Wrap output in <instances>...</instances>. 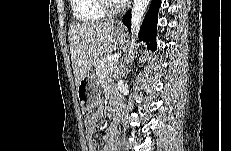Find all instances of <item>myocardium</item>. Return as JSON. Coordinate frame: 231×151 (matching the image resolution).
I'll return each instance as SVG.
<instances>
[{
    "instance_id": "myocardium-1",
    "label": "myocardium",
    "mask_w": 231,
    "mask_h": 151,
    "mask_svg": "<svg viewBox=\"0 0 231 151\" xmlns=\"http://www.w3.org/2000/svg\"><path fill=\"white\" fill-rule=\"evenodd\" d=\"M99 8L105 16L112 17L123 10V5L112 0H99Z\"/></svg>"
}]
</instances>
